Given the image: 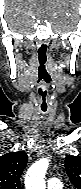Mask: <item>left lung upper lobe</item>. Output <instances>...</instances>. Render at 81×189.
<instances>
[{
	"instance_id": "left-lung-upper-lobe-1",
	"label": "left lung upper lobe",
	"mask_w": 81,
	"mask_h": 189,
	"mask_svg": "<svg viewBox=\"0 0 81 189\" xmlns=\"http://www.w3.org/2000/svg\"><path fill=\"white\" fill-rule=\"evenodd\" d=\"M65 169L69 176L71 183L77 188L81 189V157L66 156Z\"/></svg>"
}]
</instances>
